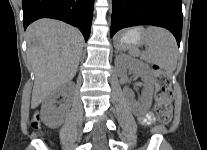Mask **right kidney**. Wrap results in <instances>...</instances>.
<instances>
[{
    "label": "right kidney",
    "mask_w": 207,
    "mask_h": 150,
    "mask_svg": "<svg viewBox=\"0 0 207 150\" xmlns=\"http://www.w3.org/2000/svg\"><path fill=\"white\" fill-rule=\"evenodd\" d=\"M71 88L65 84L56 88L42 103L41 107V119L49 128L60 127L66 117L69 110V102L56 107L58 98L63 95H68Z\"/></svg>",
    "instance_id": "1"
}]
</instances>
